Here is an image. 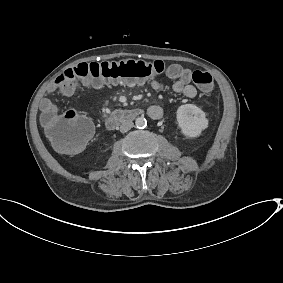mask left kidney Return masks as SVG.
<instances>
[{
  "label": "left kidney",
  "instance_id": "obj_1",
  "mask_svg": "<svg viewBox=\"0 0 283 283\" xmlns=\"http://www.w3.org/2000/svg\"><path fill=\"white\" fill-rule=\"evenodd\" d=\"M177 122L182 133L189 138L200 136L208 127L205 113L194 104L181 105L177 110Z\"/></svg>",
  "mask_w": 283,
  "mask_h": 283
}]
</instances>
